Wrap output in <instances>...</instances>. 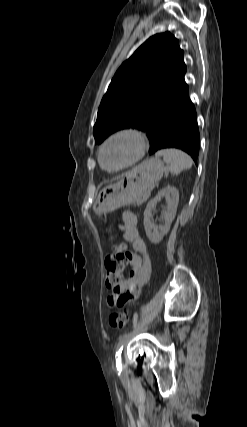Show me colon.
Listing matches in <instances>:
<instances>
[{"instance_id":"obj_1","label":"colon","mask_w":247,"mask_h":427,"mask_svg":"<svg viewBox=\"0 0 247 427\" xmlns=\"http://www.w3.org/2000/svg\"><path fill=\"white\" fill-rule=\"evenodd\" d=\"M125 248L122 244H114L112 253L105 261V282L108 288H115L121 281L126 261ZM109 323L114 328H126L131 324V316L127 311L113 312L109 317Z\"/></svg>"}]
</instances>
